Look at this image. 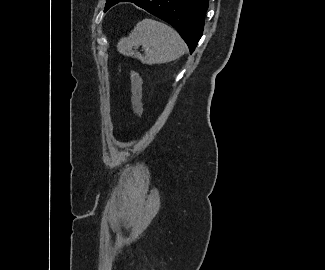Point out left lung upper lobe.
Listing matches in <instances>:
<instances>
[{"instance_id": "left-lung-upper-lobe-1", "label": "left lung upper lobe", "mask_w": 325, "mask_h": 270, "mask_svg": "<svg viewBox=\"0 0 325 270\" xmlns=\"http://www.w3.org/2000/svg\"><path fill=\"white\" fill-rule=\"evenodd\" d=\"M118 1L119 0H107L108 4H106L105 11L109 9L111 6H113L114 4H116Z\"/></svg>"}]
</instances>
